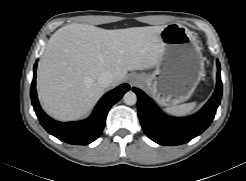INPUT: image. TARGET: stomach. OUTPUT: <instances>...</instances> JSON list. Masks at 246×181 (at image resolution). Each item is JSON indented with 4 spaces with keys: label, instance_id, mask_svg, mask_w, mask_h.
Masks as SVG:
<instances>
[{
    "label": "stomach",
    "instance_id": "stomach-1",
    "mask_svg": "<svg viewBox=\"0 0 246 181\" xmlns=\"http://www.w3.org/2000/svg\"><path fill=\"white\" fill-rule=\"evenodd\" d=\"M163 51L151 73L138 74L141 85L161 106L187 101L204 76V58L192 33L169 24L160 33Z\"/></svg>",
    "mask_w": 246,
    "mask_h": 181
}]
</instances>
